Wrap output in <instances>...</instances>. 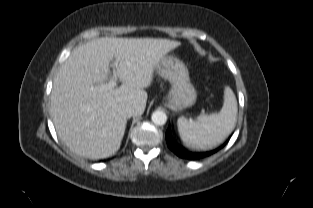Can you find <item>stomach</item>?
I'll return each mask as SVG.
<instances>
[{
    "label": "stomach",
    "instance_id": "stomach-1",
    "mask_svg": "<svg viewBox=\"0 0 313 208\" xmlns=\"http://www.w3.org/2000/svg\"><path fill=\"white\" fill-rule=\"evenodd\" d=\"M156 69L158 74L171 84L166 100L173 108L181 110L194 104L196 91L190 82L188 69L182 61L172 56H164Z\"/></svg>",
    "mask_w": 313,
    "mask_h": 208
}]
</instances>
